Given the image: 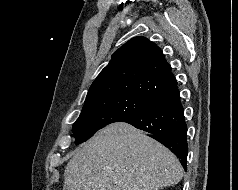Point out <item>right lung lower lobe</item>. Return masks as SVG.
I'll list each match as a JSON object with an SVG mask.
<instances>
[{
  "label": "right lung lower lobe",
  "instance_id": "right-lung-lower-lobe-1",
  "mask_svg": "<svg viewBox=\"0 0 238 190\" xmlns=\"http://www.w3.org/2000/svg\"><path fill=\"white\" fill-rule=\"evenodd\" d=\"M122 122L152 134V137L169 148L180 159L184 169H187V126L177 86L145 110Z\"/></svg>",
  "mask_w": 238,
  "mask_h": 190
}]
</instances>
